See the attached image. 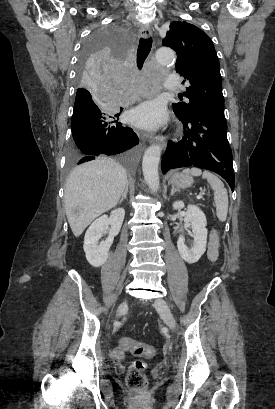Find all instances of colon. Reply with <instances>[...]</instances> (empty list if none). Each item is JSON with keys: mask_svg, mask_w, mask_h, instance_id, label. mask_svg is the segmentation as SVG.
Here are the masks:
<instances>
[{"mask_svg": "<svg viewBox=\"0 0 275 409\" xmlns=\"http://www.w3.org/2000/svg\"><path fill=\"white\" fill-rule=\"evenodd\" d=\"M122 349L134 353L136 358H152L157 349L155 342H146L145 340H132L129 337H123L120 342ZM145 364L142 361H135L129 367L127 374V384L132 388H144L147 378L145 376Z\"/></svg>", "mask_w": 275, "mask_h": 409, "instance_id": "5ec220e1", "label": "colon"}]
</instances>
